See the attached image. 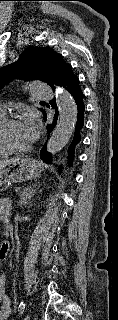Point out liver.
<instances>
[{
	"instance_id": "liver-1",
	"label": "liver",
	"mask_w": 118,
	"mask_h": 320,
	"mask_svg": "<svg viewBox=\"0 0 118 320\" xmlns=\"http://www.w3.org/2000/svg\"><path fill=\"white\" fill-rule=\"evenodd\" d=\"M13 159L11 160H0V166L6 164V163H9L10 161H12Z\"/></svg>"
}]
</instances>
